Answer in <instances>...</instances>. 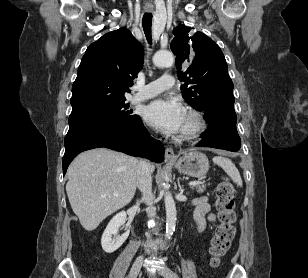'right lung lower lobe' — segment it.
<instances>
[{"label":"right lung lower lobe","instance_id":"1","mask_svg":"<svg viewBox=\"0 0 308 278\" xmlns=\"http://www.w3.org/2000/svg\"><path fill=\"white\" fill-rule=\"evenodd\" d=\"M64 145L63 175L80 152L98 147H107L158 163L164 160L162 143L150 137L141 120L132 125L95 122L74 124L69 127Z\"/></svg>","mask_w":308,"mask_h":278}]
</instances>
